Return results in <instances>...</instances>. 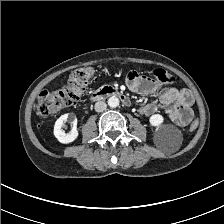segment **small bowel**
Masks as SVG:
<instances>
[{
    "mask_svg": "<svg viewBox=\"0 0 224 224\" xmlns=\"http://www.w3.org/2000/svg\"><path fill=\"white\" fill-rule=\"evenodd\" d=\"M127 85L135 93L151 96L157 94L155 102L148 103L141 108V113L146 116L153 115L162 107L166 108V114L177 126H186L191 118L190 106L194 101L193 94L188 89H176L172 87L160 88L153 80L131 71L127 76Z\"/></svg>",
    "mask_w": 224,
    "mask_h": 224,
    "instance_id": "small-bowel-1",
    "label": "small bowel"
}]
</instances>
